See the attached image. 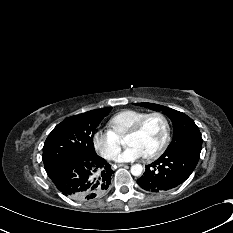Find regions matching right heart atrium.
<instances>
[{
    "label": "right heart atrium",
    "mask_w": 233,
    "mask_h": 233,
    "mask_svg": "<svg viewBox=\"0 0 233 233\" xmlns=\"http://www.w3.org/2000/svg\"><path fill=\"white\" fill-rule=\"evenodd\" d=\"M92 142L97 152L106 159H114L120 150V140L111 131H96Z\"/></svg>",
    "instance_id": "obj_1"
}]
</instances>
